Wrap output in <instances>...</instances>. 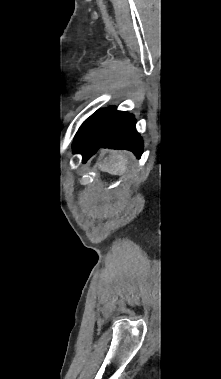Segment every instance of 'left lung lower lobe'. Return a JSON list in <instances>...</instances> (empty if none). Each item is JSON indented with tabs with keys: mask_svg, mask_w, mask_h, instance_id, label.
I'll use <instances>...</instances> for the list:
<instances>
[{
	"mask_svg": "<svg viewBox=\"0 0 221 379\" xmlns=\"http://www.w3.org/2000/svg\"><path fill=\"white\" fill-rule=\"evenodd\" d=\"M74 153L86 162L100 147L128 149L141 156L143 143L132 115L115 107L98 110L79 128L73 143Z\"/></svg>",
	"mask_w": 221,
	"mask_h": 379,
	"instance_id": "0a47b994",
	"label": "left lung lower lobe"
}]
</instances>
